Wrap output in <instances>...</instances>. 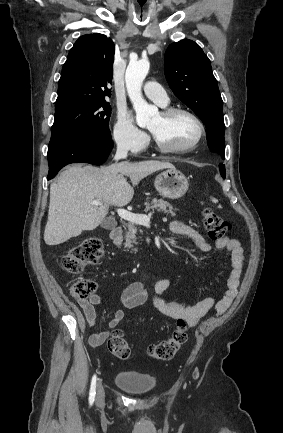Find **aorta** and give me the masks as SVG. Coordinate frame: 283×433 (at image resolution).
I'll use <instances>...</instances> for the list:
<instances>
[{
    "mask_svg": "<svg viewBox=\"0 0 283 433\" xmlns=\"http://www.w3.org/2000/svg\"><path fill=\"white\" fill-rule=\"evenodd\" d=\"M150 68L147 59H140L129 63L125 73V83L128 96L136 112V122L139 126H146L158 113V109L149 105L142 96L141 88Z\"/></svg>",
    "mask_w": 283,
    "mask_h": 433,
    "instance_id": "aorta-1",
    "label": "aorta"
}]
</instances>
